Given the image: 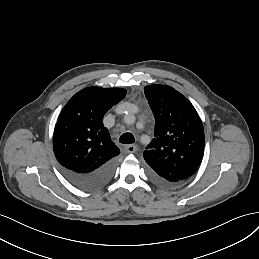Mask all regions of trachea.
I'll use <instances>...</instances> for the list:
<instances>
[{"label": "trachea", "instance_id": "1", "mask_svg": "<svg viewBox=\"0 0 259 259\" xmlns=\"http://www.w3.org/2000/svg\"><path fill=\"white\" fill-rule=\"evenodd\" d=\"M119 142L122 144H131L135 142V138L131 133H124L120 136Z\"/></svg>", "mask_w": 259, "mask_h": 259}]
</instances>
